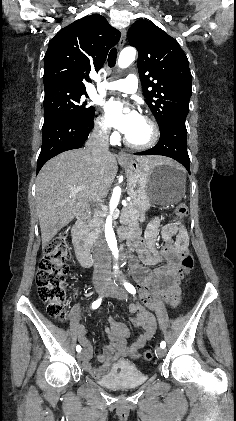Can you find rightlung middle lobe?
<instances>
[{
	"label": "right lung middle lobe",
	"instance_id": "right-lung-middle-lobe-1",
	"mask_svg": "<svg viewBox=\"0 0 236 421\" xmlns=\"http://www.w3.org/2000/svg\"><path fill=\"white\" fill-rule=\"evenodd\" d=\"M86 91L69 90L56 87L45 88L44 124L58 118L70 119L87 124L94 116L95 109L86 107Z\"/></svg>",
	"mask_w": 236,
	"mask_h": 421
}]
</instances>
